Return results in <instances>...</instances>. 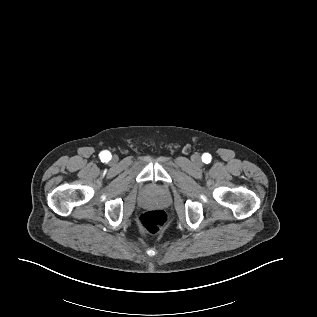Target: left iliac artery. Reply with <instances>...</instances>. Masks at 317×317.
I'll return each mask as SVG.
<instances>
[{
	"label": "left iliac artery",
	"instance_id": "obj_1",
	"mask_svg": "<svg viewBox=\"0 0 317 317\" xmlns=\"http://www.w3.org/2000/svg\"><path fill=\"white\" fill-rule=\"evenodd\" d=\"M211 159H212V157H211V155L209 154V153H205V154H203V156H202V161L204 162V163H210L211 162Z\"/></svg>",
	"mask_w": 317,
	"mask_h": 317
}]
</instances>
